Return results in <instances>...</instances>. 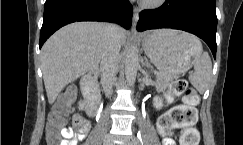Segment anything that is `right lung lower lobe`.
Here are the masks:
<instances>
[{
    "instance_id": "right-lung-lower-lobe-1",
    "label": "right lung lower lobe",
    "mask_w": 243,
    "mask_h": 145,
    "mask_svg": "<svg viewBox=\"0 0 243 145\" xmlns=\"http://www.w3.org/2000/svg\"><path fill=\"white\" fill-rule=\"evenodd\" d=\"M132 12L128 0H46L39 47L56 30L75 21L118 22L129 29Z\"/></svg>"
}]
</instances>
